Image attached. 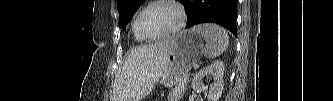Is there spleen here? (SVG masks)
Instances as JSON below:
<instances>
[{"label": "spleen", "instance_id": "1", "mask_svg": "<svg viewBox=\"0 0 333 101\" xmlns=\"http://www.w3.org/2000/svg\"><path fill=\"white\" fill-rule=\"evenodd\" d=\"M192 30L200 33L206 41V47L204 49L206 58L214 59L228 48L229 36L224 28L216 24L206 23L194 26Z\"/></svg>", "mask_w": 333, "mask_h": 101}]
</instances>
